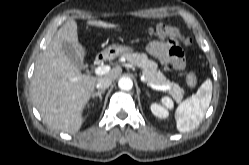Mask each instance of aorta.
I'll use <instances>...</instances> for the list:
<instances>
[{"mask_svg":"<svg viewBox=\"0 0 249 165\" xmlns=\"http://www.w3.org/2000/svg\"><path fill=\"white\" fill-rule=\"evenodd\" d=\"M118 86L121 90H131L133 87V81L129 77H121L118 81Z\"/></svg>","mask_w":249,"mask_h":165,"instance_id":"1","label":"aorta"}]
</instances>
